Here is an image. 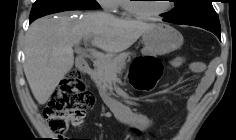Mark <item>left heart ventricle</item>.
I'll list each match as a JSON object with an SVG mask.
<instances>
[{
  "mask_svg": "<svg viewBox=\"0 0 236 140\" xmlns=\"http://www.w3.org/2000/svg\"><path fill=\"white\" fill-rule=\"evenodd\" d=\"M137 3L138 8L146 13L158 12L166 8L167 2L162 0H142Z\"/></svg>",
  "mask_w": 236,
  "mask_h": 140,
  "instance_id": "1",
  "label": "left heart ventricle"
}]
</instances>
